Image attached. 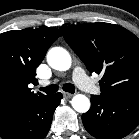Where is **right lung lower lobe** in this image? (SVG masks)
I'll return each instance as SVG.
<instances>
[{"label":"right lung lower lobe","mask_w":139,"mask_h":139,"mask_svg":"<svg viewBox=\"0 0 139 139\" xmlns=\"http://www.w3.org/2000/svg\"><path fill=\"white\" fill-rule=\"evenodd\" d=\"M61 99V93L46 96L34 105L1 116L0 137L3 139H44L51 127L53 113Z\"/></svg>","instance_id":"obj_1"}]
</instances>
